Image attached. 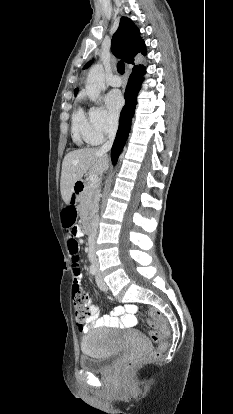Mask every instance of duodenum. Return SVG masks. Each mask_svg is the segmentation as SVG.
<instances>
[{
	"label": "duodenum",
	"mask_w": 233,
	"mask_h": 414,
	"mask_svg": "<svg viewBox=\"0 0 233 414\" xmlns=\"http://www.w3.org/2000/svg\"><path fill=\"white\" fill-rule=\"evenodd\" d=\"M85 189V183L82 180H77L74 182L73 184V195L77 196L78 194H80L81 192H83ZM72 205L74 204L73 202L71 203ZM71 204H66L65 205V210L66 211H71L72 210V205ZM82 229L85 233H90L93 230V225L90 219H86L84 220L83 224H82Z\"/></svg>",
	"instance_id": "410a0bca"
}]
</instances>
